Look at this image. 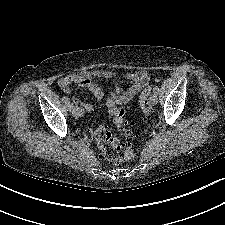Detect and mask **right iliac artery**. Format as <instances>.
Masks as SVG:
<instances>
[{
	"mask_svg": "<svg viewBox=\"0 0 225 225\" xmlns=\"http://www.w3.org/2000/svg\"><path fill=\"white\" fill-rule=\"evenodd\" d=\"M74 107L73 103L70 105V109H72Z\"/></svg>",
	"mask_w": 225,
	"mask_h": 225,
	"instance_id": "1",
	"label": "right iliac artery"
}]
</instances>
